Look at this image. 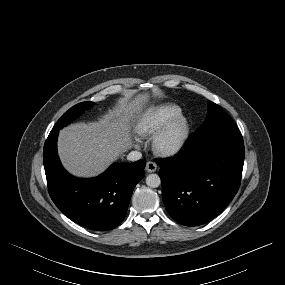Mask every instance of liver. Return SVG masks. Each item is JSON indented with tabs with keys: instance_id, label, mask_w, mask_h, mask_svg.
<instances>
[{
	"instance_id": "liver-1",
	"label": "liver",
	"mask_w": 285,
	"mask_h": 285,
	"mask_svg": "<svg viewBox=\"0 0 285 285\" xmlns=\"http://www.w3.org/2000/svg\"><path fill=\"white\" fill-rule=\"evenodd\" d=\"M149 94L123 98L99 121L75 123L60 131L58 152L69 173L92 177L104 171L131 147L130 123L142 111Z\"/></svg>"
}]
</instances>
